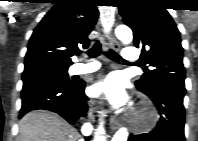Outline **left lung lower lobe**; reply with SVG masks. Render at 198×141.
<instances>
[{"label":"left lung lower lobe","mask_w":198,"mask_h":141,"mask_svg":"<svg viewBox=\"0 0 198 141\" xmlns=\"http://www.w3.org/2000/svg\"><path fill=\"white\" fill-rule=\"evenodd\" d=\"M185 92L184 87L164 84L152 93H145L155 104L160 120L155 130L147 134L131 135L129 141H185Z\"/></svg>","instance_id":"0a47b994"}]
</instances>
